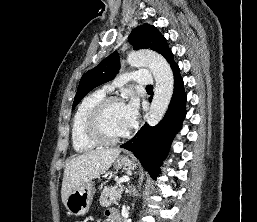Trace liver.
Returning <instances> with one entry per match:
<instances>
[{"label": "liver", "instance_id": "1", "mask_svg": "<svg viewBox=\"0 0 257 222\" xmlns=\"http://www.w3.org/2000/svg\"><path fill=\"white\" fill-rule=\"evenodd\" d=\"M121 150L96 149L73 157L65 166L61 198L64 205L68 195L76 188L104 174L118 158Z\"/></svg>", "mask_w": 257, "mask_h": 222}]
</instances>
